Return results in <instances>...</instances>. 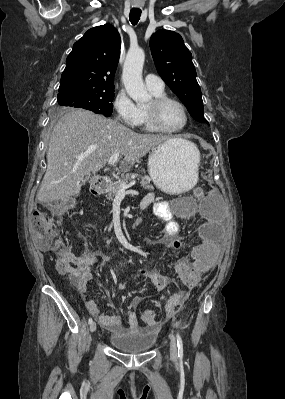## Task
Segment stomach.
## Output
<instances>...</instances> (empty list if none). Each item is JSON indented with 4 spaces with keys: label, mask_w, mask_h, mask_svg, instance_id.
Instances as JSON below:
<instances>
[{
    "label": "stomach",
    "mask_w": 285,
    "mask_h": 399,
    "mask_svg": "<svg viewBox=\"0 0 285 399\" xmlns=\"http://www.w3.org/2000/svg\"><path fill=\"white\" fill-rule=\"evenodd\" d=\"M200 152L185 139L166 141L149 155L148 172L154 184L168 194H181L198 180Z\"/></svg>",
    "instance_id": "1"
}]
</instances>
